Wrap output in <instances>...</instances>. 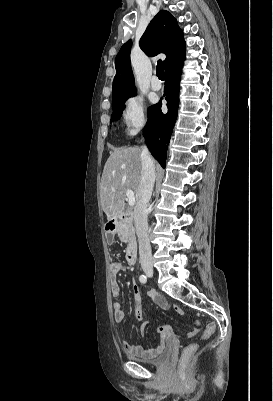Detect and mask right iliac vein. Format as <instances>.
I'll use <instances>...</instances> for the list:
<instances>
[{"label": "right iliac vein", "mask_w": 273, "mask_h": 401, "mask_svg": "<svg viewBox=\"0 0 273 401\" xmlns=\"http://www.w3.org/2000/svg\"><path fill=\"white\" fill-rule=\"evenodd\" d=\"M143 271L146 273V275L148 277H152L153 276V267L150 264H144L142 266Z\"/></svg>", "instance_id": "obj_1"}]
</instances>
